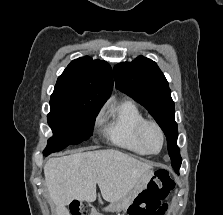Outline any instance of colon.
<instances>
[{
	"label": "colon",
	"instance_id": "5ec220e1",
	"mask_svg": "<svg viewBox=\"0 0 223 215\" xmlns=\"http://www.w3.org/2000/svg\"><path fill=\"white\" fill-rule=\"evenodd\" d=\"M175 182L166 170H157L148 186L129 207V215H158L163 211L165 200L174 189ZM71 215H102L91 204L74 202Z\"/></svg>",
	"mask_w": 223,
	"mask_h": 215
}]
</instances>
